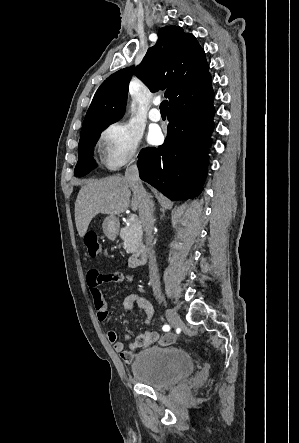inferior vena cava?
<instances>
[{
	"mask_svg": "<svg viewBox=\"0 0 299 443\" xmlns=\"http://www.w3.org/2000/svg\"><path fill=\"white\" fill-rule=\"evenodd\" d=\"M125 178L129 181L130 187L139 201V216L146 232V243L148 247L150 284L153 288L154 294L160 295V282L154 251V217L152 201L150 200V195L146 192L142 185L136 164H132L129 166V168H127Z\"/></svg>",
	"mask_w": 299,
	"mask_h": 443,
	"instance_id": "inferior-vena-cava-1",
	"label": "inferior vena cava"
}]
</instances>
